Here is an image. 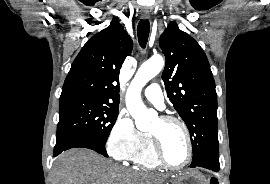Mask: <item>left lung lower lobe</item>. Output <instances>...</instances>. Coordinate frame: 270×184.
Returning <instances> with one entry per match:
<instances>
[{
    "label": "left lung lower lobe",
    "instance_id": "left-lung-lower-lobe-1",
    "mask_svg": "<svg viewBox=\"0 0 270 184\" xmlns=\"http://www.w3.org/2000/svg\"><path fill=\"white\" fill-rule=\"evenodd\" d=\"M191 167H203L218 172L220 169L219 156H207L203 158L199 163L191 165Z\"/></svg>",
    "mask_w": 270,
    "mask_h": 184
}]
</instances>
